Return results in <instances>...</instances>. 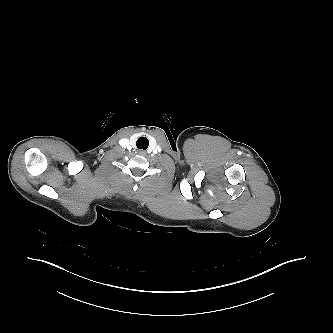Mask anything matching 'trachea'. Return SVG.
Returning <instances> with one entry per match:
<instances>
[{
  "label": "trachea",
  "mask_w": 333,
  "mask_h": 333,
  "mask_svg": "<svg viewBox=\"0 0 333 333\" xmlns=\"http://www.w3.org/2000/svg\"><path fill=\"white\" fill-rule=\"evenodd\" d=\"M136 144L137 148L146 150L149 146V140L146 137H139Z\"/></svg>",
  "instance_id": "3493384b"
}]
</instances>
